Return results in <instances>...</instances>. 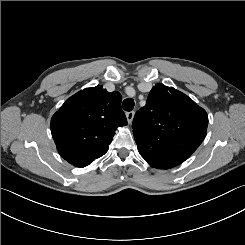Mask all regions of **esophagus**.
I'll use <instances>...</instances> for the list:
<instances>
[{
	"label": "esophagus",
	"instance_id": "esophagus-1",
	"mask_svg": "<svg viewBox=\"0 0 245 245\" xmlns=\"http://www.w3.org/2000/svg\"><path fill=\"white\" fill-rule=\"evenodd\" d=\"M127 121L129 124L132 123V120L134 118V111H129L126 113Z\"/></svg>",
	"mask_w": 245,
	"mask_h": 245
}]
</instances>
